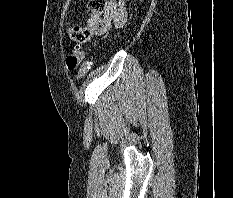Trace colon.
Segmentation results:
<instances>
[{
    "mask_svg": "<svg viewBox=\"0 0 233 198\" xmlns=\"http://www.w3.org/2000/svg\"><path fill=\"white\" fill-rule=\"evenodd\" d=\"M108 5V0H88V8L90 11V17L87 25L84 27L73 26L70 28L69 33L71 38L77 43L87 42L93 33V29L99 23L101 15L105 11ZM79 59L76 55L72 54L67 57L66 64L69 70H74L79 64ZM91 69V61H84L78 72V77H84Z\"/></svg>",
    "mask_w": 233,
    "mask_h": 198,
    "instance_id": "5ec220e1",
    "label": "colon"
}]
</instances>
